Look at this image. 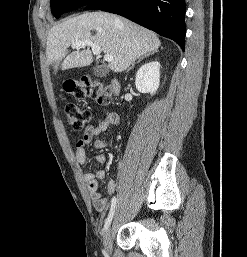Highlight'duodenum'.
<instances>
[{"instance_id": "1", "label": "duodenum", "mask_w": 247, "mask_h": 257, "mask_svg": "<svg viewBox=\"0 0 247 257\" xmlns=\"http://www.w3.org/2000/svg\"><path fill=\"white\" fill-rule=\"evenodd\" d=\"M110 88L113 94H117L119 92V83L117 80L113 79L110 82Z\"/></svg>"}]
</instances>
